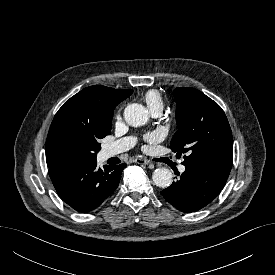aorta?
Here are the masks:
<instances>
[{
  "mask_svg": "<svg viewBox=\"0 0 275 275\" xmlns=\"http://www.w3.org/2000/svg\"><path fill=\"white\" fill-rule=\"evenodd\" d=\"M124 119L130 126H142L146 124L149 119L148 110L138 103L129 104L124 110ZM172 177V172L167 168H158L152 175L154 184L160 188L170 186Z\"/></svg>",
  "mask_w": 275,
  "mask_h": 275,
  "instance_id": "aorta-1",
  "label": "aorta"
}]
</instances>
